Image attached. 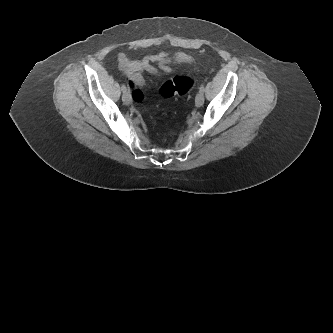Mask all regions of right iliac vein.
Returning a JSON list of instances; mask_svg holds the SVG:
<instances>
[{
    "mask_svg": "<svg viewBox=\"0 0 333 333\" xmlns=\"http://www.w3.org/2000/svg\"><path fill=\"white\" fill-rule=\"evenodd\" d=\"M122 100H123L125 105H129L130 101H131L130 94L128 92L124 93L123 96H122Z\"/></svg>",
    "mask_w": 333,
    "mask_h": 333,
    "instance_id": "1",
    "label": "right iliac vein"
}]
</instances>
